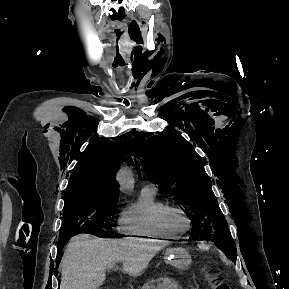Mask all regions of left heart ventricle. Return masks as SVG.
<instances>
[{"mask_svg": "<svg viewBox=\"0 0 289 289\" xmlns=\"http://www.w3.org/2000/svg\"><path fill=\"white\" fill-rule=\"evenodd\" d=\"M167 222L170 228H172L175 231H181L187 227V222L185 218L175 212L168 214Z\"/></svg>", "mask_w": 289, "mask_h": 289, "instance_id": "obj_1", "label": "left heart ventricle"}]
</instances>
